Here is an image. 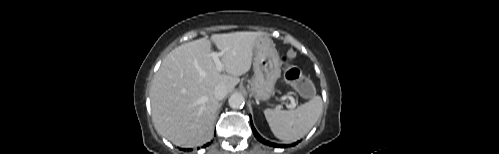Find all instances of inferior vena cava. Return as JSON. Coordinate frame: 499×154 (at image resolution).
I'll return each instance as SVG.
<instances>
[{
  "label": "inferior vena cava",
  "instance_id": "obj_1",
  "mask_svg": "<svg viewBox=\"0 0 499 154\" xmlns=\"http://www.w3.org/2000/svg\"><path fill=\"white\" fill-rule=\"evenodd\" d=\"M228 93V90L226 86L224 85H217L214 89V97L217 100H222Z\"/></svg>",
  "mask_w": 499,
  "mask_h": 154
}]
</instances>
